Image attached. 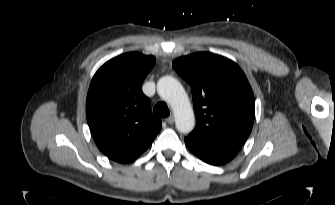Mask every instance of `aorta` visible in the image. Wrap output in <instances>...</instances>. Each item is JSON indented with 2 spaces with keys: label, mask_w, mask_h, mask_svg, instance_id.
Returning <instances> with one entry per match:
<instances>
[{
  "label": "aorta",
  "mask_w": 335,
  "mask_h": 205,
  "mask_svg": "<svg viewBox=\"0 0 335 205\" xmlns=\"http://www.w3.org/2000/svg\"><path fill=\"white\" fill-rule=\"evenodd\" d=\"M157 92L172 108L176 128L183 134L195 127V116L189 98L180 82L171 76H164L157 82Z\"/></svg>",
  "instance_id": "1"
}]
</instances>
